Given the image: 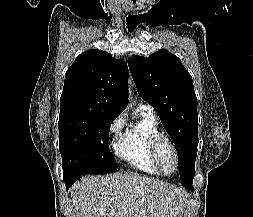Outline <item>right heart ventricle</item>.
<instances>
[{"mask_svg": "<svg viewBox=\"0 0 253 217\" xmlns=\"http://www.w3.org/2000/svg\"><path fill=\"white\" fill-rule=\"evenodd\" d=\"M161 136L155 115L140 107L137 120L126 127L115 142L117 156L129 163L133 168L147 174H161L152 154L153 141Z\"/></svg>", "mask_w": 253, "mask_h": 217, "instance_id": "right-heart-ventricle-1", "label": "right heart ventricle"}]
</instances>
